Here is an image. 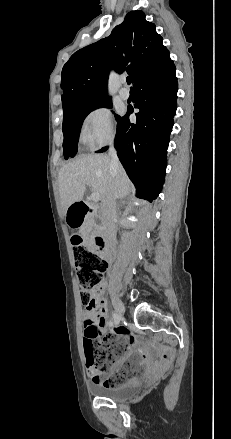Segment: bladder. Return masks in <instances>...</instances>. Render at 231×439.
Wrapping results in <instances>:
<instances>
[{"instance_id":"31cf9c89","label":"bladder","mask_w":231,"mask_h":439,"mask_svg":"<svg viewBox=\"0 0 231 439\" xmlns=\"http://www.w3.org/2000/svg\"><path fill=\"white\" fill-rule=\"evenodd\" d=\"M128 370H133L135 373H140L141 366L130 364L128 366ZM140 391L139 386H131V385H119L108 387L102 384H93L91 386V392L97 396L102 398L111 399L114 401H123L136 397Z\"/></svg>"}]
</instances>
